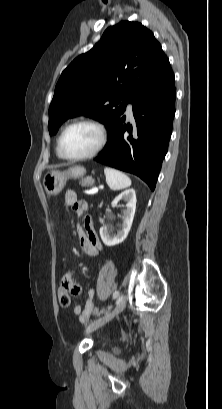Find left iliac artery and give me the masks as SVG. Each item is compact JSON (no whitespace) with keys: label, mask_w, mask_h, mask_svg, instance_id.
<instances>
[{"label":"left iliac artery","mask_w":222,"mask_h":409,"mask_svg":"<svg viewBox=\"0 0 222 409\" xmlns=\"http://www.w3.org/2000/svg\"><path fill=\"white\" fill-rule=\"evenodd\" d=\"M119 296V292L118 291H115L114 293H113V299H115V298H117ZM104 312V309L100 312V313H103Z\"/></svg>","instance_id":"obj_1"}]
</instances>
